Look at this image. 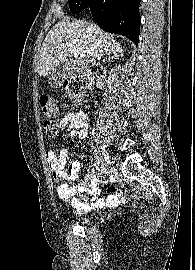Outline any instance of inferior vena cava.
I'll list each match as a JSON object with an SVG mask.
<instances>
[{
    "label": "inferior vena cava",
    "mask_w": 195,
    "mask_h": 270,
    "mask_svg": "<svg viewBox=\"0 0 195 270\" xmlns=\"http://www.w3.org/2000/svg\"><path fill=\"white\" fill-rule=\"evenodd\" d=\"M95 59H96V55L94 54V57H93L92 60H91L93 65L96 64Z\"/></svg>",
    "instance_id": "obj_1"
}]
</instances>
